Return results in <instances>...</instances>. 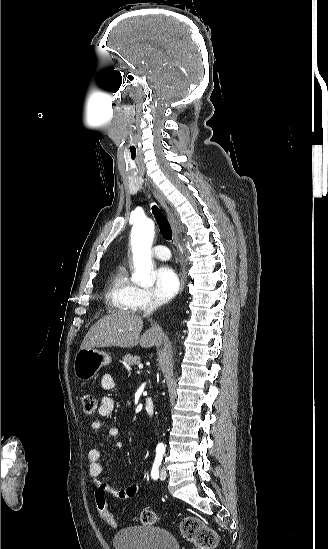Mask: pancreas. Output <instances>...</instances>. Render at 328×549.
I'll return each instance as SVG.
<instances>
[{"label":"pancreas","instance_id":"pancreas-1","mask_svg":"<svg viewBox=\"0 0 328 549\" xmlns=\"http://www.w3.org/2000/svg\"><path fill=\"white\" fill-rule=\"evenodd\" d=\"M123 363H127V365H140V357H133V355H125L123 357Z\"/></svg>","mask_w":328,"mask_h":549}]
</instances>
